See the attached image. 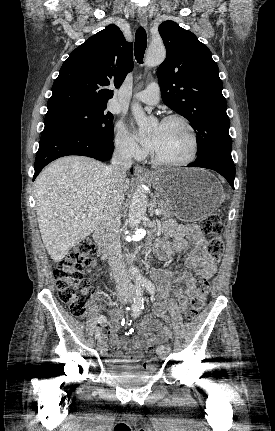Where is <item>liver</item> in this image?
Here are the masks:
<instances>
[{"label":"liver","instance_id":"6515ba94","mask_svg":"<svg viewBox=\"0 0 275 431\" xmlns=\"http://www.w3.org/2000/svg\"><path fill=\"white\" fill-rule=\"evenodd\" d=\"M105 169L95 159L67 156L49 164L36 178L39 229L54 262H60L79 240L100 225L108 189ZM129 184L125 179L124 191Z\"/></svg>","mask_w":275,"mask_h":431}]
</instances>
